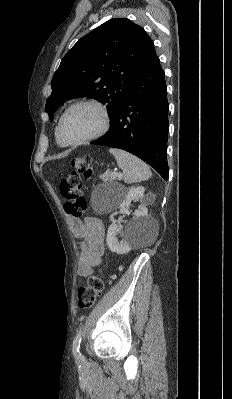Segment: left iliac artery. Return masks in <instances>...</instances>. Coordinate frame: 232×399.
Listing matches in <instances>:
<instances>
[{
  "instance_id": "44dca946",
  "label": "left iliac artery",
  "mask_w": 232,
  "mask_h": 399,
  "mask_svg": "<svg viewBox=\"0 0 232 399\" xmlns=\"http://www.w3.org/2000/svg\"><path fill=\"white\" fill-rule=\"evenodd\" d=\"M81 340H82V331L80 330L73 341V345H72V353L74 358L79 359L82 358V354L80 352V344H81Z\"/></svg>"
}]
</instances>
